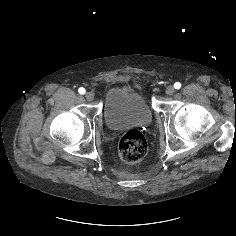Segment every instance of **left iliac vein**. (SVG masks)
I'll return each mask as SVG.
<instances>
[{"label": "left iliac vein", "instance_id": "obj_1", "mask_svg": "<svg viewBox=\"0 0 236 236\" xmlns=\"http://www.w3.org/2000/svg\"><path fill=\"white\" fill-rule=\"evenodd\" d=\"M166 94L167 95H173L174 94V92H175V89H174V87L173 86H168L167 88H166Z\"/></svg>", "mask_w": 236, "mask_h": 236}]
</instances>
